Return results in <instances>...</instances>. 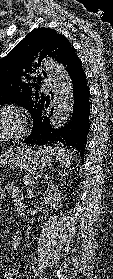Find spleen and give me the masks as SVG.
I'll return each instance as SVG.
<instances>
[{"mask_svg":"<svg viewBox=\"0 0 113 279\" xmlns=\"http://www.w3.org/2000/svg\"><path fill=\"white\" fill-rule=\"evenodd\" d=\"M47 150L55 156L60 167H69L72 161L71 151L61 147H48Z\"/></svg>","mask_w":113,"mask_h":279,"instance_id":"3e777b00","label":"spleen"}]
</instances>
